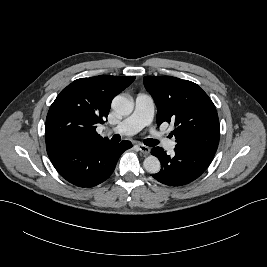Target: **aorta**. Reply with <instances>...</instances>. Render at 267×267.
Here are the masks:
<instances>
[{"mask_svg": "<svg viewBox=\"0 0 267 267\" xmlns=\"http://www.w3.org/2000/svg\"><path fill=\"white\" fill-rule=\"evenodd\" d=\"M133 108L134 104L132 100L124 96L118 95L112 101V109L120 115H129L133 111ZM143 166L144 169L151 174L158 173L161 169L160 161L153 155H149L144 159Z\"/></svg>", "mask_w": 267, "mask_h": 267, "instance_id": "aorta-1", "label": "aorta"}]
</instances>
